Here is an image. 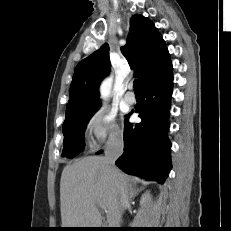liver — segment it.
Here are the masks:
<instances>
[{
  "mask_svg": "<svg viewBox=\"0 0 231 231\" xmlns=\"http://www.w3.org/2000/svg\"><path fill=\"white\" fill-rule=\"evenodd\" d=\"M129 186V177L117 168L110 172L102 156H88L67 165L60 181L62 227L100 228L102 216L96 200L107 213L108 225L119 226V194Z\"/></svg>",
  "mask_w": 231,
  "mask_h": 231,
  "instance_id": "liver-1",
  "label": "liver"
}]
</instances>
